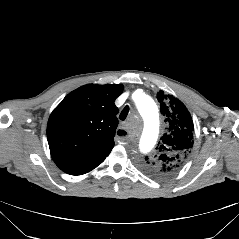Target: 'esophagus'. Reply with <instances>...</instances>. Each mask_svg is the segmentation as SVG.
I'll return each mask as SVG.
<instances>
[{"mask_svg": "<svg viewBox=\"0 0 239 239\" xmlns=\"http://www.w3.org/2000/svg\"><path fill=\"white\" fill-rule=\"evenodd\" d=\"M116 136L121 140L125 141L129 138L128 131L124 127H119L116 130Z\"/></svg>", "mask_w": 239, "mask_h": 239, "instance_id": "esophagus-1", "label": "esophagus"}]
</instances>
